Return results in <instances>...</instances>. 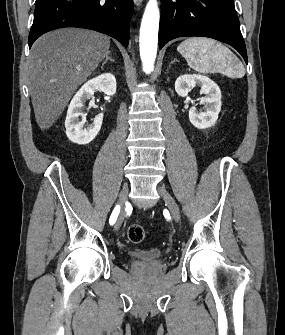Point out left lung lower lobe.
I'll return each instance as SVG.
<instances>
[{
	"instance_id": "obj_1",
	"label": "left lung lower lobe",
	"mask_w": 285,
	"mask_h": 335,
	"mask_svg": "<svg viewBox=\"0 0 285 335\" xmlns=\"http://www.w3.org/2000/svg\"><path fill=\"white\" fill-rule=\"evenodd\" d=\"M184 36L209 37L247 52L233 0H161L159 48Z\"/></svg>"
}]
</instances>
